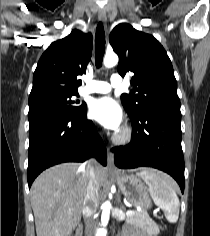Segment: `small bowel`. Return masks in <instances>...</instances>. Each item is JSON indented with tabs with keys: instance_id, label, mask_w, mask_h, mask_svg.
<instances>
[{
	"instance_id": "obj_1",
	"label": "small bowel",
	"mask_w": 210,
	"mask_h": 236,
	"mask_svg": "<svg viewBox=\"0 0 210 236\" xmlns=\"http://www.w3.org/2000/svg\"><path fill=\"white\" fill-rule=\"evenodd\" d=\"M124 236H147V235L142 234V233H136L135 231L131 229H127L125 230Z\"/></svg>"
}]
</instances>
